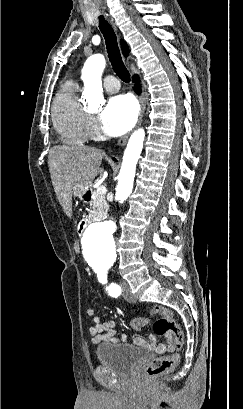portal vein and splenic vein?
I'll return each mask as SVG.
<instances>
[{"label": "portal vein and splenic vein", "instance_id": "1", "mask_svg": "<svg viewBox=\"0 0 243 409\" xmlns=\"http://www.w3.org/2000/svg\"><path fill=\"white\" fill-rule=\"evenodd\" d=\"M96 191H97L99 194H105L107 190H106V187H105V186L101 185V186H99V187L96 189Z\"/></svg>", "mask_w": 243, "mask_h": 409}]
</instances>
